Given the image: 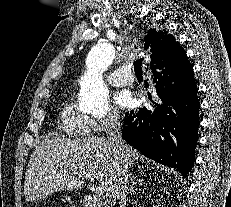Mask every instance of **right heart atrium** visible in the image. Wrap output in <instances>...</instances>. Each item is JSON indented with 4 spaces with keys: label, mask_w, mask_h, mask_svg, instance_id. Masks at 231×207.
<instances>
[{
    "label": "right heart atrium",
    "mask_w": 231,
    "mask_h": 207,
    "mask_svg": "<svg viewBox=\"0 0 231 207\" xmlns=\"http://www.w3.org/2000/svg\"><path fill=\"white\" fill-rule=\"evenodd\" d=\"M120 124L119 113L110 109L101 116L89 117V127L91 133H101L118 127Z\"/></svg>",
    "instance_id": "d8ad5b80"
}]
</instances>
